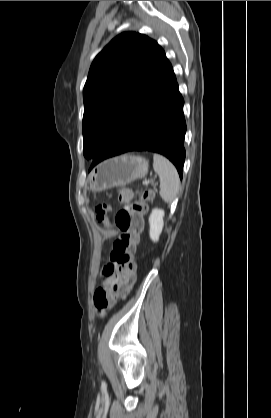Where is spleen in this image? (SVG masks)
Returning a JSON list of instances; mask_svg holds the SVG:
<instances>
[{
	"instance_id": "3e777b00",
	"label": "spleen",
	"mask_w": 271,
	"mask_h": 418,
	"mask_svg": "<svg viewBox=\"0 0 271 418\" xmlns=\"http://www.w3.org/2000/svg\"><path fill=\"white\" fill-rule=\"evenodd\" d=\"M153 168L160 178V196L165 202L172 203L180 188V179L175 166L167 158L154 154Z\"/></svg>"
}]
</instances>
